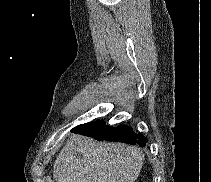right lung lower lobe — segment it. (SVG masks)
I'll return each mask as SVG.
<instances>
[{"mask_svg": "<svg viewBox=\"0 0 211 182\" xmlns=\"http://www.w3.org/2000/svg\"><path fill=\"white\" fill-rule=\"evenodd\" d=\"M71 131L76 134L93 137L96 140L118 141L133 145L138 144L142 147L147 142L144 136L137 135L129 126L119 125L114 128L105 125L101 120L78 125Z\"/></svg>", "mask_w": 211, "mask_h": 182, "instance_id": "1", "label": "right lung lower lobe"}]
</instances>
